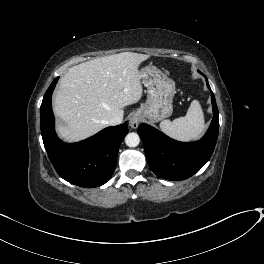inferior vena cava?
Segmentation results:
<instances>
[{
  "label": "inferior vena cava",
  "instance_id": "obj_1",
  "mask_svg": "<svg viewBox=\"0 0 264 264\" xmlns=\"http://www.w3.org/2000/svg\"><path fill=\"white\" fill-rule=\"evenodd\" d=\"M122 121H123V117L122 116H115V117H113L112 119H110L108 121V125H110V126L119 125V124L122 123Z\"/></svg>",
  "mask_w": 264,
  "mask_h": 264
}]
</instances>
